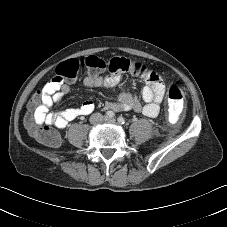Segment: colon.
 Returning <instances> with one entry per match:
<instances>
[{"label":"colon","instance_id":"5ec220e1","mask_svg":"<svg viewBox=\"0 0 227 227\" xmlns=\"http://www.w3.org/2000/svg\"><path fill=\"white\" fill-rule=\"evenodd\" d=\"M111 68L105 60L95 55H88L85 58H73L64 61L57 67V75L54 76L45 86L43 92H37L30 101V106H36L43 100L45 93H53L60 88L64 80L72 81L84 70L88 69L92 73H99ZM131 70L141 76L148 75L150 69L147 65L134 61ZM166 101L171 114L181 113L184 109L185 95L182 87L176 83L171 82L168 85ZM30 134L41 144L56 148L61 143L59 134L51 129L48 125L37 126L33 122L29 123Z\"/></svg>","mask_w":227,"mask_h":227}]
</instances>
